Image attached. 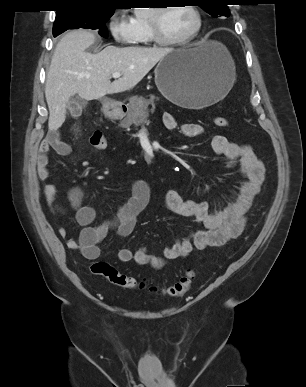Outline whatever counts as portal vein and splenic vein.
<instances>
[{"label": "portal vein and splenic vein", "mask_w": 306, "mask_h": 387, "mask_svg": "<svg viewBox=\"0 0 306 387\" xmlns=\"http://www.w3.org/2000/svg\"><path fill=\"white\" fill-rule=\"evenodd\" d=\"M112 77L115 78V79L116 78H120L121 77V73L115 72V73L112 74Z\"/></svg>", "instance_id": "portal-vein-and-splenic-vein-1"}]
</instances>
